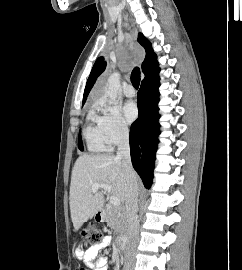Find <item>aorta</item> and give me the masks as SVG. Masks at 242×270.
<instances>
[{"label": "aorta", "instance_id": "762f6f07", "mask_svg": "<svg viewBox=\"0 0 242 270\" xmlns=\"http://www.w3.org/2000/svg\"><path fill=\"white\" fill-rule=\"evenodd\" d=\"M120 88V75L115 72L111 74L107 81V87L105 93L107 97L110 99L111 103L116 101L118 90Z\"/></svg>", "mask_w": 242, "mask_h": 270}]
</instances>
